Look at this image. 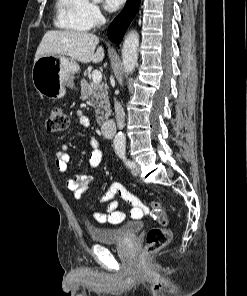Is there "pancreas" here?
Returning <instances> with one entry per match:
<instances>
[{
	"mask_svg": "<svg viewBox=\"0 0 247 296\" xmlns=\"http://www.w3.org/2000/svg\"><path fill=\"white\" fill-rule=\"evenodd\" d=\"M80 85L82 99H91L93 101L95 106L96 121L98 124H100L110 115V103L107 87L100 83H88L85 79L81 80Z\"/></svg>",
	"mask_w": 247,
	"mask_h": 296,
	"instance_id": "pancreas-1",
	"label": "pancreas"
}]
</instances>
